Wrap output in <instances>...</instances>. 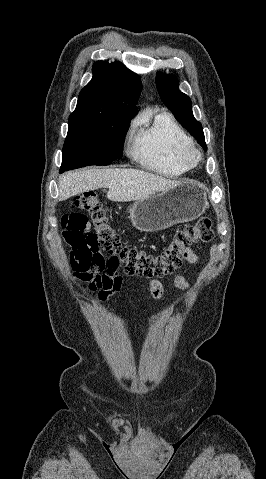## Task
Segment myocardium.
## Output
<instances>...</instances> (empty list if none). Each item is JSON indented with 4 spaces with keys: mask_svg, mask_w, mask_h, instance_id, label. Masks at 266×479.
I'll use <instances>...</instances> for the list:
<instances>
[{
    "mask_svg": "<svg viewBox=\"0 0 266 479\" xmlns=\"http://www.w3.org/2000/svg\"><path fill=\"white\" fill-rule=\"evenodd\" d=\"M183 158L191 163L192 165L196 166L202 159L201 152L195 148L194 146L188 147L183 151Z\"/></svg>",
    "mask_w": 266,
    "mask_h": 479,
    "instance_id": "f54148a6",
    "label": "myocardium"
}]
</instances>
